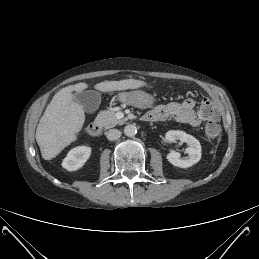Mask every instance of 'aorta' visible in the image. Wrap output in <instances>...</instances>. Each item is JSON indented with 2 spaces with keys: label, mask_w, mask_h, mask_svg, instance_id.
Instances as JSON below:
<instances>
[{
  "label": "aorta",
  "mask_w": 259,
  "mask_h": 259,
  "mask_svg": "<svg viewBox=\"0 0 259 259\" xmlns=\"http://www.w3.org/2000/svg\"><path fill=\"white\" fill-rule=\"evenodd\" d=\"M137 133V127L134 124H128L124 127V134L127 137H134Z\"/></svg>",
  "instance_id": "aorta-1"
}]
</instances>
